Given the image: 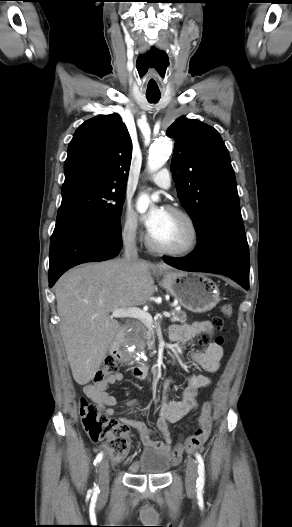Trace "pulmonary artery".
<instances>
[{
  "instance_id": "1",
  "label": "pulmonary artery",
  "mask_w": 292,
  "mask_h": 527,
  "mask_svg": "<svg viewBox=\"0 0 292 527\" xmlns=\"http://www.w3.org/2000/svg\"><path fill=\"white\" fill-rule=\"evenodd\" d=\"M150 181L163 189H169L171 186V176L167 169H162L151 176Z\"/></svg>"
}]
</instances>
